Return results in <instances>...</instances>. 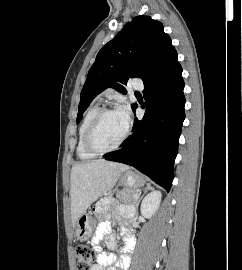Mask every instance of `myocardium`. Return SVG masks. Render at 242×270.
I'll list each match as a JSON object with an SVG mask.
<instances>
[{
  "instance_id": "obj_1",
  "label": "myocardium",
  "mask_w": 242,
  "mask_h": 270,
  "mask_svg": "<svg viewBox=\"0 0 242 270\" xmlns=\"http://www.w3.org/2000/svg\"><path fill=\"white\" fill-rule=\"evenodd\" d=\"M114 112H118L117 109L114 108H104L101 109L96 116L93 118V120L91 121V123L89 124L87 131L85 133V137H84V146L86 148V150L88 152H90L91 154L94 155H103V154H107L113 151H116L117 149H119L124 142L127 140L129 133H130V127L129 124L126 126V130L122 136V138L112 147L110 148H106V149H100L97 148L94 144H93V135L100 123V121L108 114L110 113H114Z\"/></svg>"
}]
</instances>
